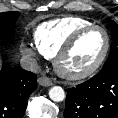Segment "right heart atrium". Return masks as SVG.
I'll list each match as a JSON object with an SVG mask.
<instances>
[{
	"label": "right heart atrium",
	"instance_id": "1",
	"mask_svg": "<svg viewBox=\"0 0 118 118\" xmlns=\"http://www.w3.org/2000/svg\"><path fill=\"white\" fill-rule=\"evenodd\" d=\"M21 51L24 55L31 57V58H34L37 56L35 49L28 45H22Z\"/></svg>",
	"mask_w": 118,
	"mask_h": 118
}]
</instances>
